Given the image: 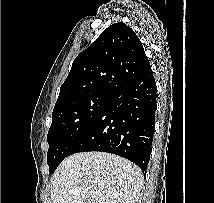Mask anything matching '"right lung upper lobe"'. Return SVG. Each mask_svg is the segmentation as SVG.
Masks as SVG:
<instances>
[{
    "label": "right lung upper lobe",
    "mask_w": 214,
    "mask_h": 203,
    "mask_svg": "<svg viewBox=\"0 0 214 203\" xmlns=\"http://www.w3.org/2000/svg\"><path fill=\"white\" fill-rule=\"evenodd\" d=\"M150 71L136 33L122 22L112 24L75 58L54 108L89 94H110Z\"/></svg>",
    "instance_id": "1"
}]
</instances>
